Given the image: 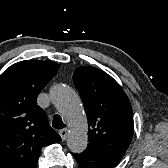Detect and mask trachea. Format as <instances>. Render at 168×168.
I'll use <instances>...</instances> for the list:
<instances>
[{"label": "trachea", "mask_w": 168, "mask_h": 168, "mask_svg": "<svg viewBox=\"0 0 168 168\" xmlns=\"http://www.w3.org/2000/svg\"><path fill=\"white\" fill-rule=\"evenodd\" d=\"M52 126L56 129H62L66 127V125L62 121V118L59 115H55L53 117Z\"/></svg>", "instance_id": "1"}]
</instances>
